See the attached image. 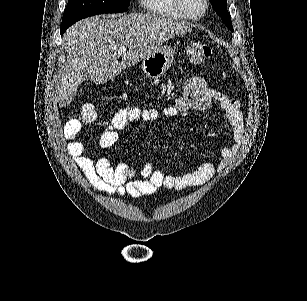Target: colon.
I'll use <instances>...</instances> for the list:
<instances>
[{
    "mask_svg": "<svg viewBox=\"0 0 307 301\" xmlns=\"http://www.w3.org/2000/svg\"><path fill=\"white\" fill-rule=\"evenodd\" d=\"M187 56L192 63L201 64L211 56V48L202 42H191L187 46ZM96 116L95 107L89 104L83 107L80 114V120L84 124H90L95 121Z\"/></svg>",
    "mask_w": 307,
    "mask_h": 301,
    "instance_id": "obj_1",
    "label": "colon"
}]
</instances>
